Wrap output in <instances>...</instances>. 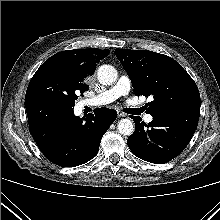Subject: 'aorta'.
Returning <instances> with one entry per match:
<instances>
[{"label":"aorta","mask_w":220,"mask_h":220,"mask_svg":"<svg viewBox=\"0 0 220 220\" xmlns=\"http://www.w3.org/2000/svg\"><path fill=\"white\" fill-rule=\"evenodd\" d=\"M98 81L103 85H111L118 78L117 70L111 65H102L97 71ZM135 130L134 123L130 119H121L118 122V131L122 135L130 136Z\"/></svg>","instance_id":"1"}]
</instances>
